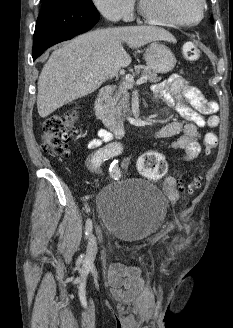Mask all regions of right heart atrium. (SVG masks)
<instances>
[{
	"instance_id": "obj_1",
	"label": "right heart atrium",
	"mask_w": 233,
	"mask_h": 328,
	"mask_svg": "<svg viewBox=\"0 0 233 328\" xmlns=\"http://www.w3.org/2000/svg\"><path fill=\"white\" fill-rule=\"evenodd\" d=\"M96 9L112 21L129 20L133 16L135 0H92Z\"/></svg>"
}]
</instances>
